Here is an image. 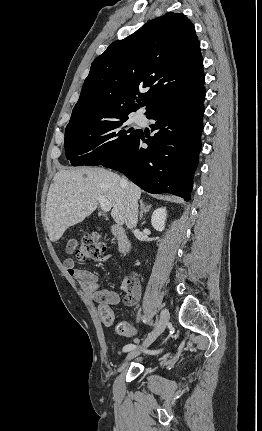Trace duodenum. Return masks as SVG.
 <instances>
[{"instance_id":"1","label":"duodenum","mask_w":262,"mask_h":431,"mask_svg":"<svg viewBox=\"0 0 262 431\" xmlns=\"http://www.w3.org/2000/svg\"><path fill=\"white\" fill-rule=\"evenodd\" d=\"M111 233L117 241L119 251L124 254L129 253L130 244L124 227L120 224H114L111 226Z\"/></svg>"}]
</instances>
